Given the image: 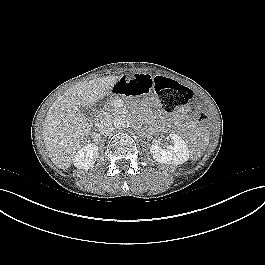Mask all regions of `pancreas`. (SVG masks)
<instances>
[{
    "mask_svg": "<svg viewBox=\"0 0 265 265\" xmlns=\"http://www.w3.org/2000/svg\"><path fill=\"white\" fill-rule=\"evenodd\" d=\"M117 98L110 100L108 105L102 110V114L106 117L116 116L122 113V109L115 106V101Z\"/></svg>",
    "mask_w": 265,
    "mask_h": 265,
    "instance_id": "pancreas-1",
    "label": "pancreas"
}]
</instances>
